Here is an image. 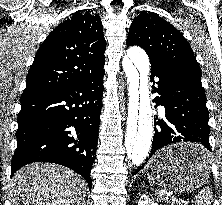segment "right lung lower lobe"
Instances as JSON below:
<instances>
[{"mask_svg": "<svg viewBox=\"0 0 222 205\" xmlns=\"http://www.w3.org/2000/svg\"><path fill=\"white\" fill-rule=\"evenodd\" d=\"M104 72L78 84L23 93L11 174L26 164L51 162L79 173L92 187Z\"/></svg>", "mask_w": 222, "mask_h": 205, "instance_id": "right-lung-lower-lobe-1", "label": "right lung lower lobe"}]
</instances>
